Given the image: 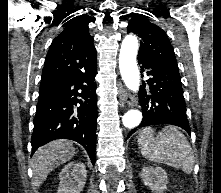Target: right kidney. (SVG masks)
I'll return each mask as SVG.
<instances>
[{
    "mask_svg": "<svg viewBox=\"0 0 221 193\" xmlns=\"http://www.w3.org/2000/svg\"><path fill=\"white\" fill-rule=\"evenodd\" d=\"M59 177L57 193H81L86 183V166L82 162H70L61 170Z\"/></svg>",
    "mask_w": 221,
    "mask_h": 193,
    "instance_id": "right-kidney-1",
    "label": "right kidney"
}]
</instances>
